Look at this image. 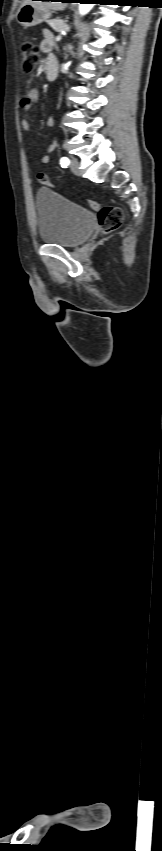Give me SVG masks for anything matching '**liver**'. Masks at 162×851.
I'll return each instance as SVG.
<instances>
[{
  "instance_id": "6515ba94",
  "label": "liver",
  "mask_w": 162,
  "mask_h": 851,
  "mask_svg": "<svg viewBox=\"0 0 162 851\" xmlns=\"http://www.w3.org/2000/svg\"><path fill=\"white\" fill-rule=\"evenodd\" d=\"M25 4H33L40 8L49 9V10H58L62 11L67 7V3L65 2H51V1H31L24 0L23 5Z\"/></svg>"
}]
</instances>
